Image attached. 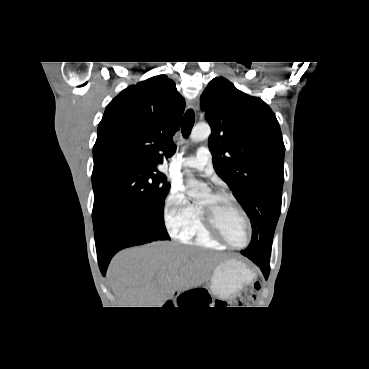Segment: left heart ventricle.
<instances>
[{
  "instance_id": "b2bd125f",
  "label": "left heart ventricle",
  "mask_w": 369,
  "mask_h": 369,
  "mask_svg": "<svg viewBox=\"0 0 369 369\" xmlns=\"http://www.w3.org/2000/svg\"><path fill=\"white\" fill-rule=\"evenodd\" d=\"M199 205L215 212L217 224L224 236L234 245H243L247 239V228L240 211L229 201H216L206 195Z\"/></svg>"
}]
</instances>
